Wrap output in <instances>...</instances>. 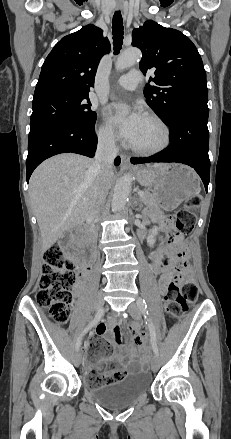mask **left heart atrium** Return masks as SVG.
Listing matches in <instances>:
<instances>
[{"label":"left heart atrium","instance_id":"obj_1","mask_svg":"<svg viewBox=\"0 0 231 439\" xmlns=\"http://www.w3.org/2000/svg\"><path fill=\"white\" fill-rule=\"evenodd\" d=\"M126 105L112 104L108 108L109 121L118 129L120 136L126 143L132 145L144 122L145 116L138 110L125 112Z\"/></svg>","mask_w":231,"mask_h":439}]
</instances>
